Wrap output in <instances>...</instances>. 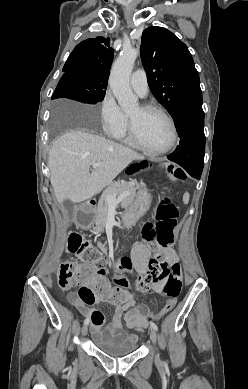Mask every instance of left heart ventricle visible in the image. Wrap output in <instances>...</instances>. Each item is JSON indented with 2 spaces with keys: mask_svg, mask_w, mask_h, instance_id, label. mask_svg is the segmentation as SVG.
Here are the masks:
<instances>
[{
  "mask_svg": "<svg viewBox=\"0 0 248 389\" xmlns=\"http://www.w3.org/2000/svg\"><path fill=\"white\" fill-rule=\"evenodd\" d=\"M135 122L142 142L151 149H161L171 140V128L168 121L159 113L144 111L136 106L128 113Z\"/></svg>",
  "mask_w": 248,
  "mask_h": 389,
  "instance_id": "1",
  "label": "left heart ventricle"
}]
</instances>
